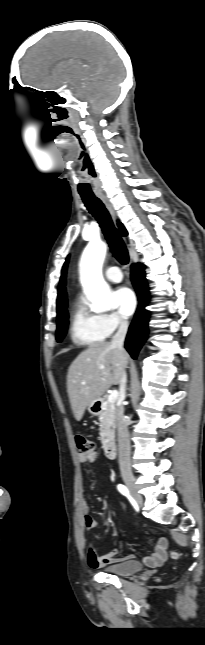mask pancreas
Masks as SVG:
<instances>
[{"instance_id":"pancreas-1","label":"pancreas","mask_w":205,"mask_h":645,"mask_svg":"<svg viewBox=\"0 0 205 645\" xmlns=\"http://www.w3.org/2000/svg\"><path fill=\"white\" fill-rule=\"evenodd\" d=\"M104 407L99 416L100 441L103 445L114 440L115 437V403L109 402L106 397L103 399Z\"/></svg>"}]
</instances>
